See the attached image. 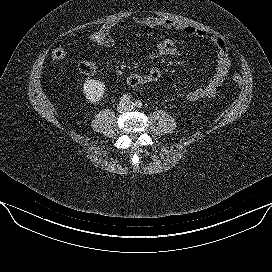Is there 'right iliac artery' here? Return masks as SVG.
I'll use <instances>...</instances> for the list:
<instances>
[{
	"label": "right iliac artery",
	"mask_w": 272,
	"mask_h": 272,
	"mask_svg": "<svg viewBox=\"0 0 272 272\" xmlns=\"http://www.w3.org/2000/svg\"><path fill=\"white\" fill-rule=\"evenodd\" d=\"M121 102H129L130 101V96L128 94H124L123 96H121L120 98Z\"/></svg>",
	"instance_id": "obj_1"
}]
</instances>
